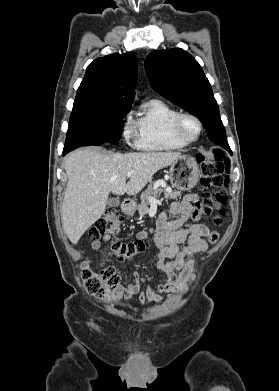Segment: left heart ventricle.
<instances>
[{
    "instance_id": "left-heart-ventricle-1",
    "label": "left heart ventricle",
    "mask_w": 279,
    "mask_h": 391,
    "mask_svg": "<svg viewBox=\"0 0 279 391\" xmlns=\"http://www.w3.org/2000/svg\"><path fill=\"white\" fill-rule=\"evenodd\" d=\"M183 133L188 138H194L197 134V125L190 119L184 121Z\"/></svg>"
}]
</instances>
